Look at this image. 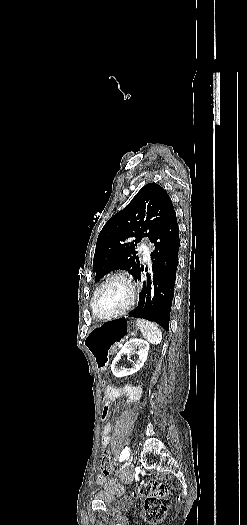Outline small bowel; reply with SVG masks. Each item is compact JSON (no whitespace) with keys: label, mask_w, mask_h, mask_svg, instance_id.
Listing matches in <instances>:
<instances>
[{"label":"small bowel","mask_w":247,"mask_h":525,"mask_svg":"<svg viewBox=\"0 0 247 525\" xmlns=\"http://www.w3.org/2000/svg\"><path fill=\"white\" fill-rule=\"evenodd\" d=\"M106 388H107V393L104 395L105 399H112V401H114L117 398H119L123 393V389L115 387V386H109ZM140 396H141L140 391L135 390L134 392L130 394L129 401L137 400L140 398ZM111 438H112V425L110 424V422L107 421L106 424H104L103 430H102L101 443L103 447L107 448L111 444ZM112 458L115 463L118 462L119 460V449L118 448L113 449ZM96 481L98 484H103L105 482V477L101 474H98L96 476Z\"/></svg>","instance_id":"obj_1"}]
</instances>
